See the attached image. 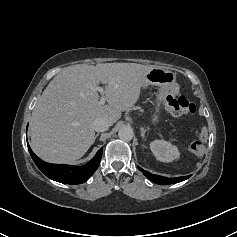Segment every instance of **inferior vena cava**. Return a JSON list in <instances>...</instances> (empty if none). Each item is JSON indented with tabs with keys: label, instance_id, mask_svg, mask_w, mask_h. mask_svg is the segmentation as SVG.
I'll use <instances>...</instances> for the list:
<instances>
[{
	"label": "inferior vena cava",
	"instance_id": "1",
	"mask_svg": "<svg viewBox=\"0 0 237 237\" xmlns=\"http://www.w3.org/2000/svg\"><path fill=\"white\" fill-rule=\"evenodd\" d=\"M110 126V123L103 118H97L93 122V129L96 132H104L107 131Z\"/></svg>",
	"mask_w": 237,
	"mask_h": 237
}]
</instances>
